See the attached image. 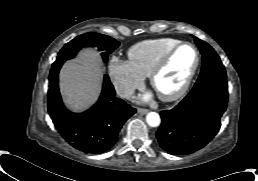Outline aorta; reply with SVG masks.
Segmentation results:
<instances>
[{"label": "aorta", "mask_w": 258, "mask_h": 181, "mask_svg": "<svg viewBox=\"0 0 258 181\" xmlns=\"http://www.w3.org/2000/svg\"><path fill=\"white\" fill-rule=\"evenodd\" d=\"M146 122L151 127H157L161 123V118L158 113L156 112H149L146 115Z\"/></svg>", "instance_id": "aorta-1"}]
</instances>
